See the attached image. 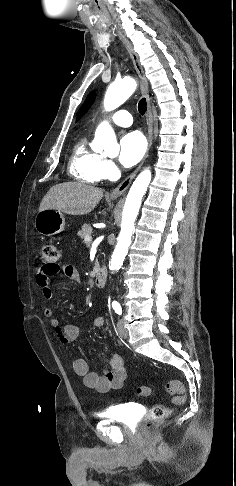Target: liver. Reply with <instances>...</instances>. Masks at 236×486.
I'll list each match as a JSON object with an SVG mask.
<instances>
[{"instance_id": "liver-1", "label": "liver", "mask_w": 236, "mask_h": 486, "mask_svg": "<svg viewBox=\"0 0 236 486\" xmlns=\"http://www.w3.org/2000/svg\"><path fill=\"white\" fill-rule=\"evenodd\" d=\"M103 197V190L84 183L54 185L44 196L39 211L55 209L69 215L90 213Z\"/></svg>"}]
</instances>
